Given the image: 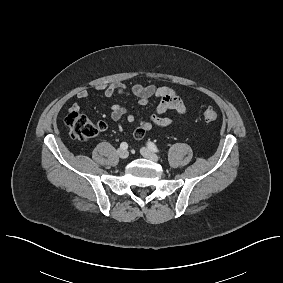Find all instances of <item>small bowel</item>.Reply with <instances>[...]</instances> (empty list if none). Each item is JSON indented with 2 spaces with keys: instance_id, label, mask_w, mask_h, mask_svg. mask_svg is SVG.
<instances>
[{
  "instance_id": "c3829d8e",
  "label": "small bowel",
  "mask_w": 283,
  "mask_h": 283,
  "mask_svg": "<svg viewBox=\"0 0 283 283\" xmlns=\"http://www.w3.org/2000/svg\"><path fill=\"white\" fill-rule=\"evenodd\" d=\"M97 89L102 91L107 97H113L115 95L134 96L140 106L148 105L152 98L159 99L150 120L140 121L133 130V136L136 139L143 138L153 127L166 128L171 126L173 120L165 116L168 111L173 110L178 114H185L186 112L181 98L172 88L167 86L135 84L129 89L125 84L116 82L108 85H100ZM76 97L86 100L89 97V93L87 90L81 89L77 91ZM70 110L71 112L79 111L80 107L78 104H73ZM110 116L114 121H118L124 116H126L129 123L136 121V117L133 114H128V110L119 104H114L111 107Z\"/></svg>"
}]
</instances>
